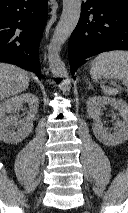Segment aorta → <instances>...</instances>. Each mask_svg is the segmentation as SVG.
<instances>
[{
    "mask_svg": "<svg viewBox=\"0 0 128 213\" xmlns=\"http://www.w3.org/2000/svg\"><path fill=\"white\" fill-rule=\"evenodd\" d=\"M81 13V0H63V11L60 20L55 28L53 37L48 46L49 69L55 78H63L60 89L63 92L69 91L71 81L65 64L60 58L62 45L70 37L75 29Z\"/></svg>",
    "mask_w": 128,
    "mask_h": 213,
    "instance_id": "762f6f07",
    "label": "aorta"
}]
</instances>
